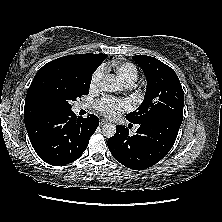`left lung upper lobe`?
<instances>
[{
    "mask_svg": "<svg viewBox=\"0 0 222 222\" xmlns=\"http://www.w3.org/2000/svg\"><path fill=\"white\" fill-rule=\"evenodd\" d=\"M133 60L146 76L147 89L141 105L126 119L135 124L160 117L183 120L184 92L174 70L151 56L135 55Z\"/></svg>",
    "mask_w": 222,
    "mask_h": 222,
    "instance_id": "left-lung-upper-lobe-1",
    "label": "left lung upper lobe"
}]
</instances>
